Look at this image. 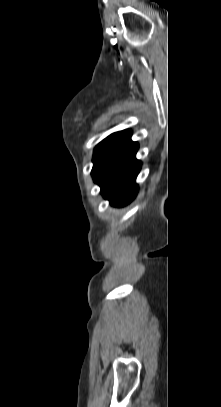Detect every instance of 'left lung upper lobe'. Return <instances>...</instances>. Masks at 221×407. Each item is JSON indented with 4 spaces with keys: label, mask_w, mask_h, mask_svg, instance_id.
<instances>
[{
    "label": "left lung upper lobe",
    "mask_w": 221,
    "mask_h": 407,
    "mask_svg": "<svg viewBox=\"0 0 221 407\" xmlns=\"http://www.w3.org/2000/svg\"><path fill=\"white\" fill-rule=\"evenodd\" d=\"M122 132L123 131H120L109 135L95 147L93 155L94 163L107 150V148L122 134Z\"/></svg>",
    "instance_id": "5c2ea615"
}]
</instances>
